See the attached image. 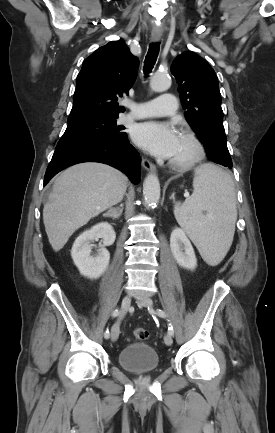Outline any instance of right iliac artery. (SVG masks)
Returning a JSON list of instances; mask_svg holds the SVG:
<instances>
[{
    "mask_svg": "<svg viewBox=\"0 0 275 433\" xmlns=\"http://www.w3.org/2000/svg\"><path fill=\"white\" fill-rule=\"evenodd\" d=\"M118 315H119V310H118V309H115V310L113 311V313H112V316H113V317H116V316H118ZM104 337H105L106 339H108V338L110 337V332H109L108 329L105 331V333H104Z\"/></svg>",
    "mask_w": 275,
    "mask_h": 433,
    "instance_id": "right-iliac-artery-1",
    "label": "right iliac artery"
}]
</instances>
